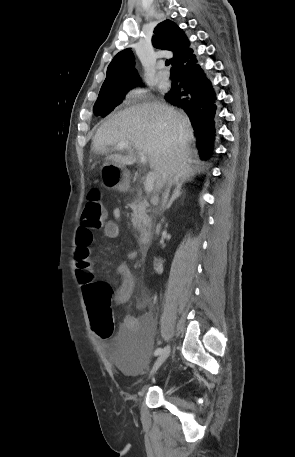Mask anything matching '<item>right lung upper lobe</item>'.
I'll return each instance as SVG.
<instances>
[{
    "label": "right lung upper lobe",
    "mask_w": 295,
    "mask_h": 457,
    "mask_svg": "<svg viewBox=\"0 0 295 457\" xmlns=\"http://www.w3.org/2000/svg\"><path fill=\"white\" fill-rule=\"evenodd\" d=\"M152 44L155 48L173 52V58L170 59L172 65L182 54L189 50L190 45L184 32L170 20H165L155 27ZM134 65L135 58L130 48L116 54L108 66L106 79L100 92L127 84L138 83L140 78Z\"/></svg>",
    "instance_id": "1"
}]
</instances>
